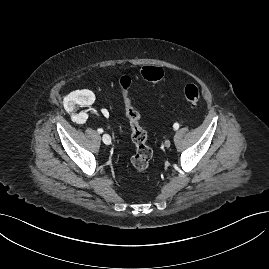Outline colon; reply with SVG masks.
Here are the masks:
<instances>
[{"mask_svg":"<svg viewBox=\"0 0 269 269\" xmlns=\"http://www.w3.org/2000/svg\"><path fill=\"white\" fill-rule=\"evenodd\" d=\"M141 75L147 81L159 82L163 77V71L156 66H147L141 70ZM118 83L124 99L126 117L131 128V137L136 148L131 163L135 170L144 172L149 167L152 150L147 144V133L141 126L140 114L130 97L132 81L128 76H122ZM184 96L190 105H196L200 99L198 87L194 84H188L184 89Z\"/></svg>","mask_w":269,"mask_h":269,"instance_id":"obj_1","label":"colon"}]
</instances>
